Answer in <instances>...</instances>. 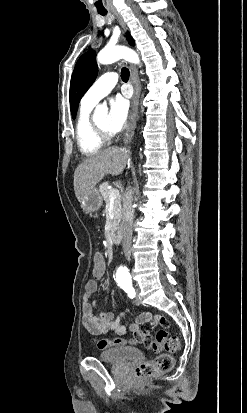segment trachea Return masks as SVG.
Returning a JSON list of instances; mask_svg holds the SVG:
<instances>
[{"label": "trachea", "mask_w": 247, "mask_h": 413, "mask_svg": "<svg viewBox=\"0 0 247 413\" xmlns=\"http://www.w3.org/2000/svg\"><path fill=\"white\" fill-rule=\"evenodd\" d=\"M99 14H101L102 16H106L107 12L106 11H99ZM121 78H122L123 82L128 81V79H129V70H128V68H122Z\"/></svg>", "instance_id": "trachea-1"}]
</instances>
